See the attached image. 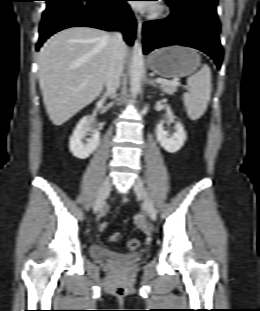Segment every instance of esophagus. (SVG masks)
<instances>
[{
	"instance_id": "esophagus-1",
	"label": "esophagus",
	"mask_w": 260,
	"mask_h": 311,
	"mask_svg": "<svg viewBox=\"0 0 260 311\" xmlns=\"http://www.w3.org/2000/svg\"><path fill=\"white\" fill-rule=\"evenodd\" d=\"M135 17H136V21H137V34L138 36L140 37L141 36V32H142V18L135 14Z\"/></svg>"
}]
</instances>
